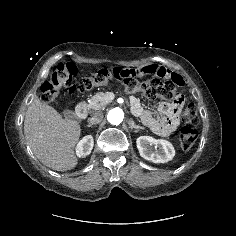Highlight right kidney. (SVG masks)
Returning a JSON list of instances; mask_svg holds the SVG:
<instances>
[{
  "label": "right kidney",
  "mask_w": 236,
  "mask_h": 236,
  "mask_svg": "<svg viewBox=\"0 0 236 236\" xmlns=\"http://www.w3.org/2000/svg\"><path fill=\"white\" fill-rule=\"evenodd\" d=\"M94 140L91 135L83 137L76 147V154L78 157H86L93 149Z\"/></svg>",
  "instance_id": "obj_1"
}]
</instances>
